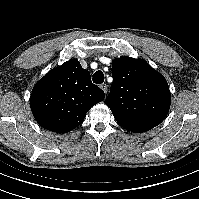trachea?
I'll use <instances>...</instances> for the list:
<instances>
[{
    "mask_svg": "<svg viewBox=\"0 0 199 199\" xmlns=\"http://www.w3.org/2000/svg\"><path fill=\"white\" fill-rule=\"evenodd\" d=\"M104 81V74L102 71H96L93 75V82L96 84H101Z\"/></svg>",
    "mask_w": 199,
    "mask_h": 199,
    "instance_id": "obj_1",
    "label": "trachea"
}]
</instances>
